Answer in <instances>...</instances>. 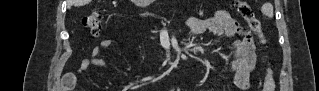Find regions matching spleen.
I'll return each instance as SVG.
<instances>
[{"label":"spleen","instance_id":"1","mask_svg":"<svg viewBox=\"0 0 319 91\" xmlns=\"http://www.w3.org/2000/svg\"><path fill=\"white\" fill-rule=\"evenodd\" d=\"M261 11L263 14H265L267 17L272 18L273 17V6L271 3H265L262 8Z\"/></svg>","mask_w":319,"mask_h":91}]
</instances>
